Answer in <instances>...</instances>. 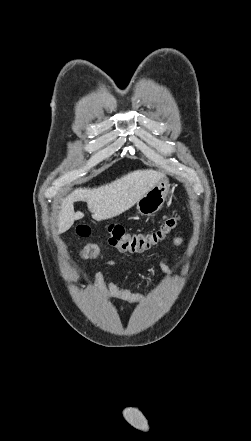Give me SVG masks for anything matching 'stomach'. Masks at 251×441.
<instances>
[{
    "label": "stomach",
    "instance_id": "obj_1",
    "mask_svg": "<svg viewBox=\"0 0 251 441\" xmlns=\"http://www.w3.org/2000/svg\"><path fill=\"white\" fill-rule=\"evenodd\" d=\"M170 184L166 177H163L144 194L137 202L136 207L141 215H152L157 212L165 202L169 193Z\"/></svg>",
    "mask_w": 251,
    "mask_h": 441
}]
</instances>
